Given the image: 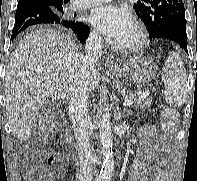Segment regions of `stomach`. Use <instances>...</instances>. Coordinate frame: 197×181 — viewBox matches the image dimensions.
I'll return each instance as SVG.
<instances>
[{"label": "stomach", "instance_id": "stomach-1", "mask_svg": "<svg viewBox=\"0 0 197 181\" xmlns=\"http://www.w3.org/2000/svg\"><path fill=\"white\" fill-rule=\"evenodd\" d=\"M111 72L118 77L131 80L137 86H143L154 78L157 65L150 58H133Z\"/></svg>", "mask_w": 197, "mask_h": 181}]
</instances>
